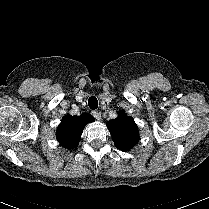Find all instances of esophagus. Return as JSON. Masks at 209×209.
<instances>
[{"instance_id": "obj_1", "label": "esophagus", "mask_w": 209, "mask_h": 209, "mask_svg": "<svg viewBox=\"0 0 209 209\" xmlns=\"http://www.w3.org/2000/svg\"><path fill=\"white\" fill-rule=\"evenodd\" d=\"M92 115L98 120H101V113L98 111H92Z\"/></svg>"}]
</instances>
